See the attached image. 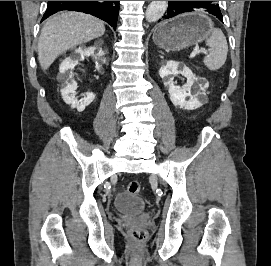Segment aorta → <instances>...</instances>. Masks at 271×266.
<instances>
[{"instance_id":"1","label":"aorta","mask_w":271,"mask_h":266,"mask_svg":"<svg viewBox=\"0 0 271 266\" xmlns=\"http://www.w3.org/2000/svg\"><path fill=\"white\" fill-rule=\"evenodd\" d=\"M167 1H152L148 6L145 18L148 22L159 20L167 10Z\"/></svg>"}]
</instances>
